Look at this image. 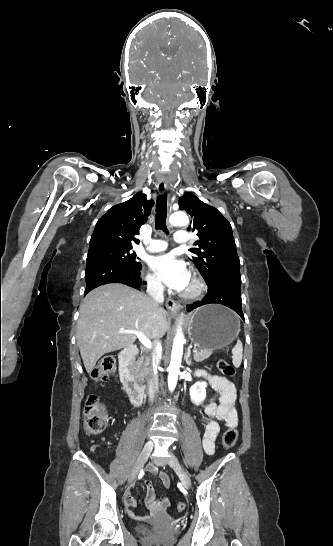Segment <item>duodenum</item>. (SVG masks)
<instances>
[{"mask_svg":"<svg viewBox=\"0 0 333 546\" xmlns=\"http://www.w3.org/2000/svg\"><path fill=\"white\" fill-rule=\"evenodd\" d=\"M137 354V348L128 346L120 357V377L123 387L135 405H141L145 398V390L133 374L132 363Z\"/></svg>","mask_w":333,"mask_h":546,"instance_id":"410a0bca","label":"duodenum"}]
</instances>
